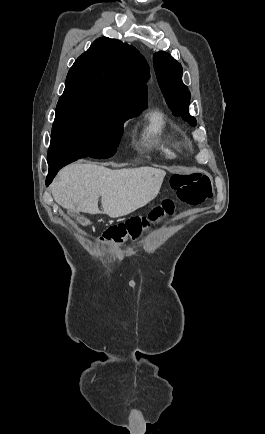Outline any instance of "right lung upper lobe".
<instances>
[{
  "label": "right lung upper lobe",
  "instance_id": "obj_1",
  "mask_svg": "<svg viewBox=\"0 0 265 434\" xmlns=\"http://www.w3.org/2000/svg\"><path fill=\"white\" fill-rule=\"evenodd\" d=\"M149 67L140 52L117 39L100 37L70 68L65 86L84 85L146 107Z\"/></svg>",
  "mask_w": 265,
  "mask_h": 434
}]
</instances>
